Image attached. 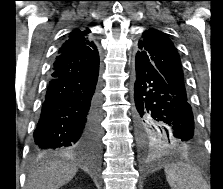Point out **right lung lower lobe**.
Returning a JSON list of instances; mask_svg holds the SVG:
<instances>
[{"label":"right lung lower lobe","mask_w":223,"mask_h":189,"mask_svg":"<svg viewBox=\"0 0 223 189\" xmlns=\"http://www.w3.org/2000/svg\"><path fill=\"white\" fill-rule=\"evenodd\" d=\"M99 69L81 76L51 78L34 131L32 151L48 154L84 147L100 148Z\"/></svg>","instance_id":"obj_1"}]
</instances>
